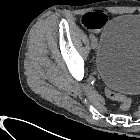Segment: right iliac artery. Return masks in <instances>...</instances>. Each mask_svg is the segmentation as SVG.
<instances>
[{
    "label": "right iliac artery",
    "instance_id": "right-iliac-artery-1",
    "mask_svg": "<svg viewBox=\"0 0 140 140\" xmlns=\"http://www.w3.org/2000/svg\"><path fill=\"white\" fill-rule=\"evenodd\" d=\"M90 38H91V39H94V38H95V36H94L93 34H91V35H90Z\"/></svg>",
    "mask_w": 140,
    "mask_h": 140
}]
</instances>
